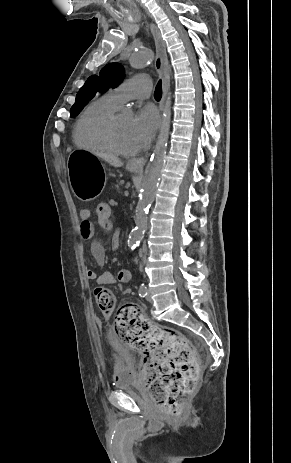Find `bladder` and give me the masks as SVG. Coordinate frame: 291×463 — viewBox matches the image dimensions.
I'll return each mask as SVG.
<instances>
[{
	"instance_id": "1",
	"label": "bladder",
	"mask_w": 291,
	"mask_h": 463,
	"mask_svg": "<svg viewBox=\"0 0 291 463\" xmlns=\"http://www.w3.org/2000/svg\"><path fill=\"white\" fill-rule=\"evenodd\" d=\"M134 359L119 354L114 366V381L118 389L133 388L136 384V374L133 369Z\"/></svg>"
}]
</instances>
